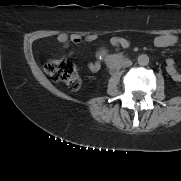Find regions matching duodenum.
<instances>
[{
  "label": "duodenum",
  "instance_id": "obj_1",
  "mask_svg": "<svg viewBox=\"0 0 181 181\" xmlns=\"http://www.w3.org/2000/svg\"><path fill=\"white\" fill-rule=\"evenodd\" d=\"M112 61H113L114 64H118V63L123 62V61H124V58L121 57V56H116V57H114V58L112 59Z\"/></svg>",
  "mask_w": 181,
  "mask_h": 181
}]
</instances>
